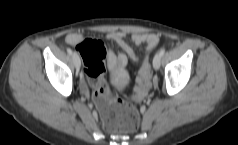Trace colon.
<instances>
[{"label": "colon", "mask_w": 238, "mask_h": 145, "mask_svg": "<svg viewBox=\"0 0 238 145\" xmlns=\"http://www.w3.org/2000/svg\"><path fill=\"white\" fill-rule=\"evenodd\" d=\"M84 70L93 88L94 101L100 111L107 130L112 132H131L139 126V113L132 105L115 98L103 80L106 50L98 39H84L76 45ZM150 62L147 58L140 70L134 97L142 99L150 86Z\"/></svg>", "instance_id": "5ec220e1"}]
</instances>
